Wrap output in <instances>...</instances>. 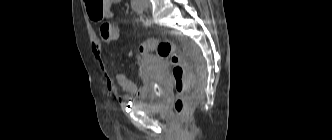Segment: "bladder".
<instances>
[{
	"instance_id": "31cf9c89",
	"label": "bladder",
	"mask_w": 332,
	"mask_h": 140,
	"mask_svg": "<svg viewBox=\"0 0 332 140\" xmlns=\"http://www.w3.org/2000/svg\"><path fill=\"white\" fill-rule=\"evenodd\" d=\"M164 99V93L161 92L158 94L155 91H152L150 94H148L144 99L142 100H136L133 102V104L144 110H155L158 109L160 106V102Z\"/></svg>"
}]
</instances>
